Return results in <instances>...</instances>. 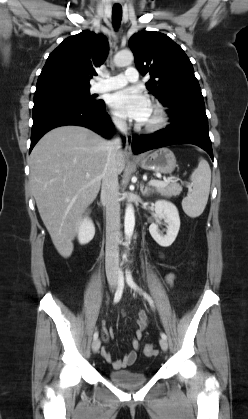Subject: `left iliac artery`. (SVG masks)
I'll use <instances>...</instances> for the list:
<instances>
[{
	"label": "left iliac artery",
	"mask_w": 248,
	"mask_h": 419,
	"mask_svg": "<svg viewBox=\"0 0 248 419\" xmlns=\"http://www.w3.org/2000/svg\"><path fill=\"white\" fill-rule=\"evenodd\" d=\"M126 281H127V283H128V285L131 287V288H133L135 291H138L140 294H142L146 299H147V301L149 302V304H150V306L151 307H154V303H153V300H152V298L146 293V292H143L138 286H137V284L134 282V280H133V278H132V275H131V272L128 270L127 272H126ZM160 335H161V337L162 338H164V339H166L167 338V336L165 335V333H163V332H161L160 333Z\"/></svg>",
	"instance_id": "44dca946"
}]
</instances>
